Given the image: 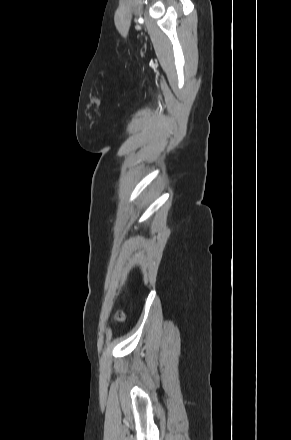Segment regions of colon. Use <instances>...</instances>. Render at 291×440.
<instances>
[{
    "instance_id": "obj_1",
    "label": "colon",
    "mask_w": 291,
    "mask_h": 440,
    "mask_svg": "<svg viewBox=\"0 0 291 440\" xmlns=\"http://www.w3.org/2000/svg\"><path fill=\"white\" fill-rule=\"evenodd\" d=\"M115 319H116V321L119 322V323L123 322L124 319H125L124 313H123V312H118V313L116 314Z\"/></svg>"
}]
</instances>
